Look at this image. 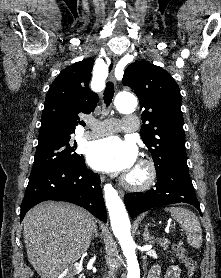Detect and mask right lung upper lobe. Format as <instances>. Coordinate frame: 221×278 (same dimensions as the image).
Masks as SVG:
<instances>
[{
  "label": "right lung upper lobe",
  "instance_id": "right-lung-upper-lobe-1",
  "mask_svg": "<svg viewBox=\"0 0 221 278\" xmlns=\"http://www.w3.org/2000/svg\"><path fill=\"white\" fill-rule=\"evenodd\" d=\"M94 59L89 58L66 67L52 82L44 103L38 141L70 136L80 121L98 103V95L89 88Z\"/></svg>",
  "mask_w": 221,
  "mask_h": 278
}]
</instances>
